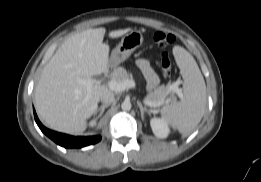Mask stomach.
<instances>
[{"instance_id":"stomach-1","label":"stomach","mask_w":261,"mask_h":182,"mask_svg":"<svg viewBox=\"0 0 261 182\" xmlns=\"http://www.w3.org/2000/svg\"><path fill=\"white\" fill-rule=\"evenodd\" d=\"M143 34L139 30H131L116 46L110 55L109 66L116 67L124 62L143 43Z\"/></svg>"}]
</instances>
